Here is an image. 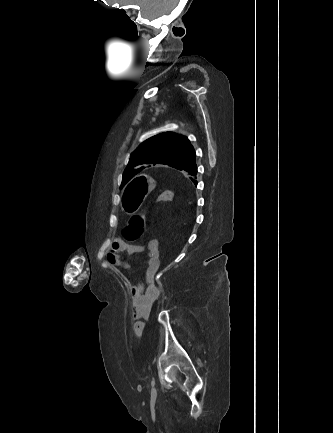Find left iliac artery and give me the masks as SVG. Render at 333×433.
Returning a JSON list of instances; mask_svg holds the SVG:
<instances>
[{
	"instance_id": "44dca946",
	"label": "left iliac artery",
	"mask_w": 333,
	"mask_h": 433,
	"mask_svg": "<svg viewBox=\"0 0 333 433\" xmlns=\"http://www.w3.org/2000/svg\"><path fill=\"white\" fill-rule=\"evenodd\" d=\"M154 384H155V380L153 378L152 381H151V386H154Z\"/></svg>"
}]
</instances>
